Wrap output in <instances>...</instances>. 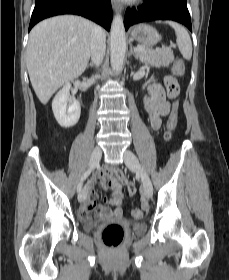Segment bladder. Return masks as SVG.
Returning <instances> with one entry per match:
<instances>
[{"label": "bladder", "instance_id": "1", "mask_svg": "<svg viewBox=\"0 0 229 280\" xmlns=\"http://www.w3.org/2000/svg\"><path fill=\"white\" fill-rule=\"evenodd\" d=\"M97 227L96 221L92 219H87L84 221V229L86 231H93ZM130 230L133 233L141 234L146 231V225L143 222H133L130 225Z\"/></svg>", "mask_w": 229, "mask_h": 280}]
</instances>
